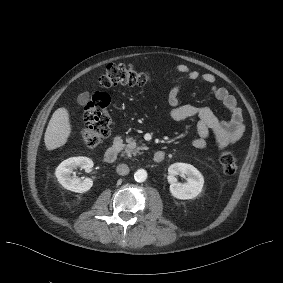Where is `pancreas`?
<instances>
[{
	"label": "pancreas",
	"mask_w": 283,
	"mask_h": 283,
	"mask_svg": "<svg viewBox=\"0 0 283 283\" xmlns=\"http://www.w3.org/2000/svg\"><path fill=\"white\" fill-rule=\"evenodd\" d=\"M137 138H126V142H127V146L125 149V153L127 155L132 154L133 156H137L138 154H142V152L140 150L144 149V147L137 145L135 143Z\"/></svg>",
	"instance_id": "1"
}]
</instances>
